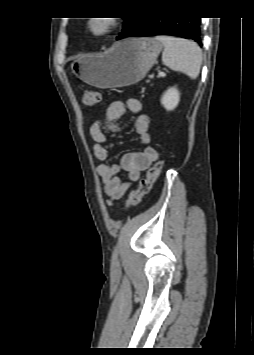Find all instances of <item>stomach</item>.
<instances>
[{"label": "stomach", "instance_id": "0dacf381", "mask_svg": "<svg viewBox=\"0 0 254 355\" xmlns=\"http://www.w3.org/2000/svg\"><path fill=\"white\" fill-rule=\"evenodd\" d=\"M156 38H127L102 55H82L70 68L87 84L99 88L124 87L142 80L161 52Z\"/></svg>", "mask_w": 254, "mask_h": 355}]
</instances>
